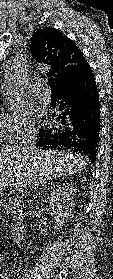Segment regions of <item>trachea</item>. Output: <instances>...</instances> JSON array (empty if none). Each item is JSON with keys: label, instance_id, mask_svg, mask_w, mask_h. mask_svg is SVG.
<instances>
[{"label": "trachea", "instance_id": "obj_1", "mask_svg": "<svg viewBox=\"0 0 113 279\" xmlns=\"http://www.w3.org/2000/svg\"><path fill=\"white\" fill-rule=\"evenodd\" d=\"M49 85H50L52 90L55 89L54 80L52 78H49Z\"/></svg>", "mask_w": 113, "mask_h": 279}]
</instances>
